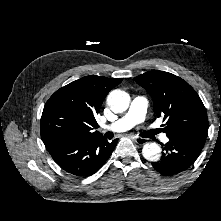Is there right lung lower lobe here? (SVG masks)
<instances>
[{
	"label": "right lung lower lobe",
	"instance_id": "98d812e1",
	"mask_svg": "<svg viewBox=\"0 0 221 221\" xmlns=\"http://www.w3.org/2000/svg\"><path fill=\"white\" fill-rule=\"evenodd\" d=\"M43 142L63 170L87 177L96 173L111 156L117 139L108 142L100 134L93 137H58Z\"/></svg>",
	"mask_w": 221,
	"mask_h": 221
}]
</instances>
